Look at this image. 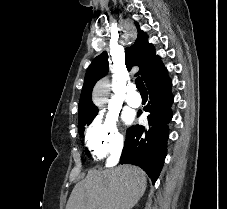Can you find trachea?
I'll return each instance as SVG.
<instances>
[{
  "mask_svg": "<svg viewBox=\"0 0 227 209\" xmlns=\"http://www.w3.org/2000/svg\"><path fill=\"white\" fill-rule=\"evenodd\" d=\"M135 84H136V87L137 89L139 90V92H146L147 89L144 85V82L143 80L141 79V77H137L136 80H135Z\"/></svg>",
  "mask_w": 227,
  "mask_h": 209,
  "instance_id": "obj_1",
  "label": "trachea"
}]
</instances>
